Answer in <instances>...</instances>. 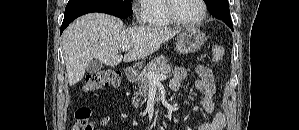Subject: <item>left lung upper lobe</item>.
<instances>
[{
	"label": "left lung upper lobe",
	"mask_w": 299,
	"mask_h": 130,
	"mask_svg": "<svg viewBox=\"0 0 299 130\" xmlns=\"http://www.w3.org/2000/svg\"><path fill=\"white\" fill-rule=\"evenodd\" d=\"M205 2L212 15L230 17L228 0H205Z\"/></svg>",
	"instance_id": "5c2ea615"
}]
</instances>
